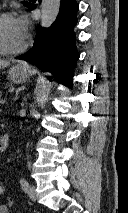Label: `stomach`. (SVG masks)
<instances>
[{
  "label": "stomach",
  "instance_id": "1",
  "mask_svg": "<svg viewBox=\"0 0 128 213\" xmlns=\"http://www.w3.org/2000/svg\"><path fill=\"white\" fill-rule=\"evenodd\" d=\"M32 74V70L30 67L19 63L9 70V77L13 82H25L29 79L30 75Z\"/></svg>",
  "mask_w": 128,
  "mask_h": 213
}]
</instances>
